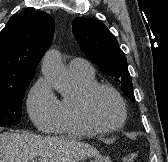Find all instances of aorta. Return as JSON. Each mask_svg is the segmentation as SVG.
Segmentation results:
<instances>
[{"label":"aorta","instance_id":"762f6f07","mask_svg":"<svg viewBox=\"0 0 168 162\" xmlns=\"http://www.w3.org/2000/svg\"><path fill=\"white\" fill-rule=\"evenodd\" d=\"M42 73L52 86L62 95L70 90V77L61 62L60 54L54 49L46 52L43 58Z\"/></svg>","mask_w":168,"mask_h":162}]
</instances>
